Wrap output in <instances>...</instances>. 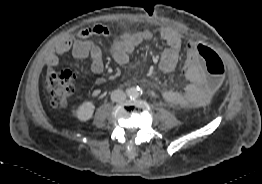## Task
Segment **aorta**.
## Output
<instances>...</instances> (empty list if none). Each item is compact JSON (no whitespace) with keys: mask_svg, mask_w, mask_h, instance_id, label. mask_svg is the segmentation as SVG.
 <instances>
[{"mask_svg":"<svg viewBox=\"0 0 262 184\" xmlns=\"http://www.w3.org/2000/svg\"><path fill=\"white\" fill-rule=\"evenodd\" d=\"M140 95V91L137 88H131L129 92V96L132 98H136Z\"/></svg>","mask_w":262,"mask_h":184,"instance_id":"1","label":"aorta"}]
</instances>
